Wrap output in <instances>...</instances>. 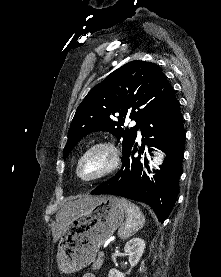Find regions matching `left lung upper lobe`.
<instances>
[{
    "instance_id": "left-lung-upper-lobe-1",
    "label": "left lung upper lobe",
    "mask_w": 221,
    "mask_h": 277,
    "mask_svg": "<svg viewBox=\"0 0 221 277\" xmlns=\"http://www.w3.org/2000/svg\"><path fill=\"white\" fill-rule=\"evenodd\" d=\"M174 95L158 65L139 60L123 65L92 88L79 105L69 128L63 158L82 137L105 130L123 139V160L135 142L137 128L143 130ZM126 117L135 120L136 126L123 130Z\"/></svg>"
}]
</instances>
